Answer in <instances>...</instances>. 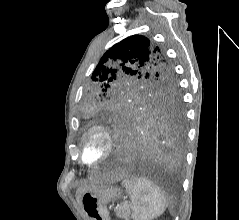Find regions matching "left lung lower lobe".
<instances>
[{
  "label": "left lung lower lobe",
  "instance_id": "1",
  "mask_svg": "<svg viewBox=\"0 0 239 220\" xmlns=\"http://www.w3.org/2000/svg\"><path fill=\"white\" fill-rule=\"evenodd\" d=\"M96 122L113 132L117 146L112 159L114 164L175 165L182 160L185 134L183 110L127 112L112 109L103 112Z\"/></svg>",
  "mask_w": 239,
  "mask_h": 220
}]
</instances>
